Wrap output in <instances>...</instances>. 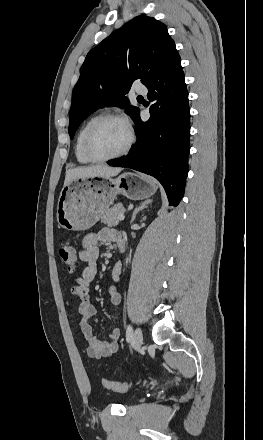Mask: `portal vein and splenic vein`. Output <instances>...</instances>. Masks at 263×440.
Instances as JSON below:
<instances>
[{
    "label": "portal vein and splenic vein",
    "mask_w": 263,
    "mask_h": 440,
    "mask_svg": "<svg viewBox=\"0 0 263 440\" xmlns=\"http://www.w3.org/2000/svg\"><path fill=\"white\" fill-rule=\"evenodd\" d=\"M118 218H119V220H124V219H125V216H124L123 213H120V214L118 215Z\"/></svg>",
    "instance_id": "obj_1"
}]
</instances>
